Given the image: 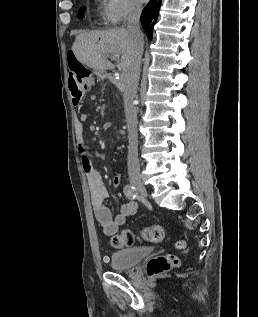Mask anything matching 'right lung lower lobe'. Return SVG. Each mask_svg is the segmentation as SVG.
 <instances>
[{
	"label": "right lung lower lobe",
	"instance_id": "1",
	"mask_svg": "<svg viewBox=\"0 0 258 317\" xmlns=\"http://www.w3.org/2000/svg\"><path fill=\"white\" fill-rule=\"evenodd\" d=\"M160 6L161 0H151L141 14L142 27L146 30L147 37L150 40L152 39L153 27L156 22Z\"/></svg>",
	"mask_w": 258,
	"mask_h": 317
}]
</instances>
